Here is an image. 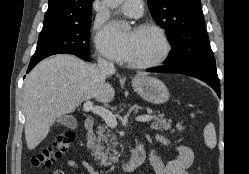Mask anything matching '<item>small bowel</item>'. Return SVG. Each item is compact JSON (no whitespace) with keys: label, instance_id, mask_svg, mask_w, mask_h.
<instances>
[{"label":"small bowel","instance_id":"1","mask_svg":"<svg viewBox=\"0 0 249 174\" xmlns=\"http://www.w3.org/2000/svg\"><path fill=\"white\" fill-rule=\"evenodd\" d=\"M158 141L167 147H174L178 152V157L165 164L153 149H147L146 153L149 157L150 163L154 168L156 174H189V169L194 161L193 151L185 145H174L169 139L163 135H158ZM66 166L72 169L79 170L81 167L85 168L90 174H99L86 161L68 160ZM51 174H65L62 170H55Z\"/></svg>","mask_w":249,"mask_h":174}]
</instances>
